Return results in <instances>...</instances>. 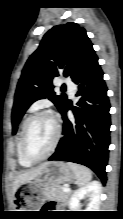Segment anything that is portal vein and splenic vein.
Segmentation results:
<instances>
[{
    "label": "portal vein and splenic vein",
    "instance_id": "obj_1",
    "mask_svg": "<svg viewBox=\"0 0 123 219\" xmlns=\"http://www.w3.org/2000/svg\"><path fill=\"white\" fill-rule=\"evenodd\" d=\"M63 191L66 192V193H69L70 192V188L69 187H64Z\"/></svg>",
    "mask_w": 123,
    "mask_h": 219
}]
</instances>
